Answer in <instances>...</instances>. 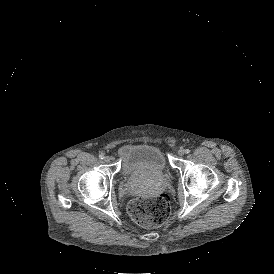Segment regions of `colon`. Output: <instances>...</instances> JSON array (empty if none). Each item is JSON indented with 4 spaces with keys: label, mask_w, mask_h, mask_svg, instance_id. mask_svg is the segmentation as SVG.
<instances>
[{
    "label": "colon",
    "mask_w": 274,
    "mask_h": 274,
    "mask_svg": "<svg viewBox=\"0 0 274 274\" xmlns=\"http://www.w3.org/2000/svg\"><path fill=\"white\" fill-rule=\"evenodd\" d=\"M129 212L133 220L142 226L159 227L171 218V209L165 195L136 197L129 203Z\"/></svg>",
    "instance_id": "5ec220e1"
}]
</instances>
